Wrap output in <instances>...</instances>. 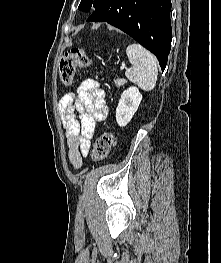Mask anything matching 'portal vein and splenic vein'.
<instances>
[{"instance_id":"18ae733b","label":"portal vein and splenic vein","mask_w":221,"mask_h":263,"mask_svg":"<svg viewBox=\"0 0 221 263\" xmlns=\"http://www.w3.org/2000/svg\"><path fill=\"white\" fill-rule=\"evenodd\" d=\"M120 69H121V70H124V69H125V66H124V65H122V66L120 67Z\"/></svg>"}]
</instances>
